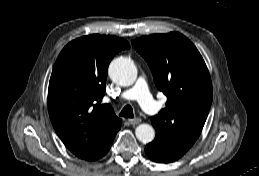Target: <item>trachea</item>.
<instances>
[{"mask_svg":"<svg viewBox=\"0 0 259 176\" xmlns=\"http://www.w3.org/2000/svg\"><path fill=\"white\" fill-rule=\"evenodd\" d=\"M120 116L126 118H133L134 114L132 107L130 105H126L120 112Z\"/></svg>","mask_w":259,"mask_h":176,"instance_id":"1","label":"trachea"}]
</instances>
